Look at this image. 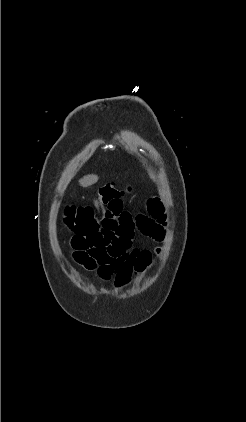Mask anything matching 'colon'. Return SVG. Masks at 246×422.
I'll return each mask as SVG.
<instances>
[{
  "mask_svg": "<svg viewBox=\"0 0 246 422\" xmlns=\"http://www.w3.org/2000/svg\"><path fill=\"white\" fill-rule=\"evenodd\" d=\"M125 190L114 183L103 186L93 205H70L65 208V223L76 234H88L99 226V213L105 208L118 209L122 204ZM151 261L149 251H140L135 261V273L143 271Z\"/></svg>",
  "mask_w": 246,
  "mask_h": 422,
  "instance_id": "1",
  "label": "colon"
}]
</instances>
